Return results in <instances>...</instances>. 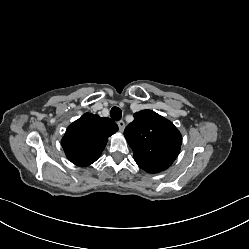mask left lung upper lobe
<instances>
[{
	"instance_id": "left-lung-upper-lobe-1",
	"label": "left lung upper lobe",
	"mask_w": 249,
	"mask_h": 249,
	"mask_svg": "<svg viewBox=\"0 0 249 249\" xmlns=\"http://www.w3.org/2000/svg\"><path fill=\"white\" fill-rule=\"evenodd\" d=\"M124 136L138 166L148 173L166 170L177 158L182 137L172 122L152 110L134 114Z\"/></svg>"
}]
</instances>
